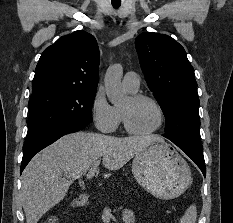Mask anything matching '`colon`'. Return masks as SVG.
I'll list each match as a JSON object with an SVG mask.
<instances>
[{"mask_svg": "<svg viewBox=\"0 0 233 223\" xmlns=\"http://www.w3.org/2000/svg\"><path fill=\"white\" fill-rule=\"evenodd\" d=\"M44 223H58V220L56 218H48Z\"/></svg>", "mask_w": 233, "mask_h": 223, "instance_id": "obj_1", "label": "colon"}]
</instances>
